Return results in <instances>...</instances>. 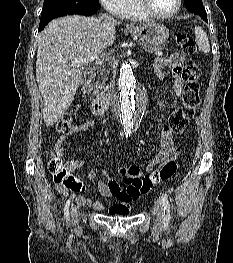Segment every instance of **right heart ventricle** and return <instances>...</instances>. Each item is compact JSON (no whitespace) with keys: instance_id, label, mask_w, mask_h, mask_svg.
<instances>
[{"instance_id":"1","label":"right heart ventricle","mask_w":233,"mask_h":263,"mask_svg":"<svg viewBox=\"0 0 233 263\" xmlns=\"http://www.w3.org/2000/svg\"><path fill=\"white\" fill-rule=\"evenodd\" d=\"M119 16L132 19H146L148 16L137 6L136 0H125Z\"/></svg>"}]
</instances>
